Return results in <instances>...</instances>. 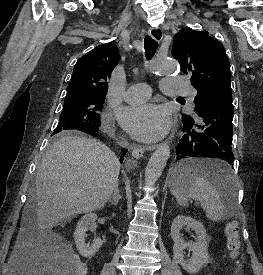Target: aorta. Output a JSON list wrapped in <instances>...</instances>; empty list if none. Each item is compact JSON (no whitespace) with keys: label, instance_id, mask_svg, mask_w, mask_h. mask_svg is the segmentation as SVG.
I'll return each instance as SVG.
<instances>
[{"label":"aorta","instance_id":"aorta-1","mask_svg":"<svg viewBox=\"0 0 263 275\" xmlns=\"http://www.w3.org/2000/svg\"><path fill=\"white\" fill-rule=\"evenodd\" d=\"M179 70L175 60L157 59L150 65V71L160 74H173ZM170 156V146L162 144L151 156L145 170V183L152 187L161 176Z\"/></svg>","mask_w":263,"mask_h":275}]
</instances>
